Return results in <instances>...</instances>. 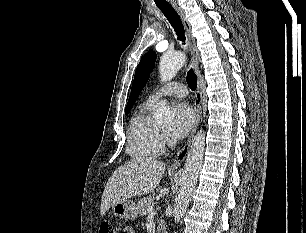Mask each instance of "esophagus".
I'll use <instances>...</instances> for the list:
<instances>
[{
    "mask_svg": "<svg viewBox=\"0 0 306 233\" xmlns=\"http://www.w3.org/2000/svg\"><path fill=\"white\" fill-rule=\"evenodd\" d=\"M173 7L175 8V10L177 11V13L179 14L183 25L185 27V32H186V37L188 40V45L190 48V52L192 55V65L193 68L196 71L197 74V89H196V93H195V112H196V118H195V123L194 126L192 128L191 134L186 142V144L184 145V147L177 153L175 159L173 160L171 166L173 168H178L181 166L182 162L184 161L189 149H190V145L192 142V139L194 137V134L196 132V129L199 125L200 122V118H201V105H202V77H201V73L199 70V52L198 49L196 47V43H195V39L192 36L191 33V25L188 22L184 11L176 4H173Z\"/></svg>",
    "mask_w": 306,
    "mask_h": 233,
    "instance_id": "1",
    "label": "esophagus"
}]
</instances>
